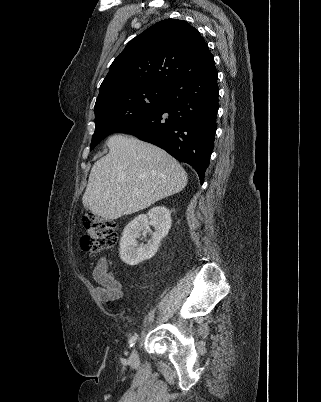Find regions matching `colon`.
Returning a JSON list of instances; mask_svg holds the SVG:
<instances>
[{
  "mask_svg": "<svg viewBox=\"0 0 321 402\" xmlns=\"http://www.w3.org/2000/svg\"><path fill=\"white\" fill-rule=\"evenodd\" d=\"M82 221L87 231V234L81 239V248L85 253H100L117 242V224L114 220L87 213L83 216Z\"/></svg>",
  "mask_w": 321,
  "mask_h": 402,
  "instance_id": "obj_1",
  "label": "colon"
}]
</instances>
